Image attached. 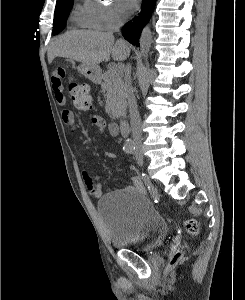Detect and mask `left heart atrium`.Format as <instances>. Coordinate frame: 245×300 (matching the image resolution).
Listing matches in <instances>:
<instances>
[{
  "label": "left heart atrium",
  "instance_id": "obj_1",
  "mask_svg": "<svg viewBox=\"0 0 245 300\" xmlns=\"http://www.w3.org/2000/svg\"><path fill=\"white\" fill-rule=\"evenodd\" d=\"M125 10H131L136 7L139 0H120Z\"/></svg>",
  "mask_w": 245,
  "mask_h": 300
}]
</instances>
